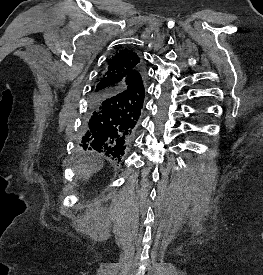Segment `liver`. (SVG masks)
<instances>
[{"label": "liver", "instance_id": "1", "mask_svg": "<svg viewBox=\"0 0 263 275\" xmlns=\"http://www.w3.org/2000/svg\"><path fill=\"white\" fill-rule=\"evenodd\" d=\"M76 171L78 175L85 180H87L92 174L93 170L88 168L86 165H80L79 167L76 168Z\"/></svg>", "mask_w": 263, "mask_h": 275}]
</instances>
